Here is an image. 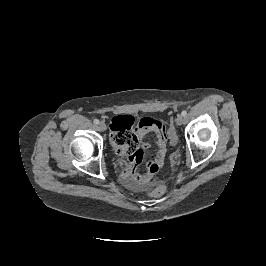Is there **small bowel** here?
Returning a JSON list of instances; mask_svg holds the SVG:
<instances>
[{"mask_svg": "<svg viewBox=\"0 0 266 266\" xmlns=\"http://www.w3.org/2000/svg\"><path fill=\"white\" fill-rule=\"evenodd\" d=\"M110 129L112 144L118 154L125 159L122 179L129 187L138 189L164 164L167 151L165 124L153 118H142L135 124L132 116L118 115L111 120ZM148 131L156 134L157 153L155 158L148 163L147 170L140 172L138 165L143 161L144 150L150 146L143 141ZM170 136L174 137L173 131L170 132Z\"/></svg>", "mask_w": 266, "mask_h": 266, "instance_id": "c3829d8e", "label": "small bowel"}]
</instances>
